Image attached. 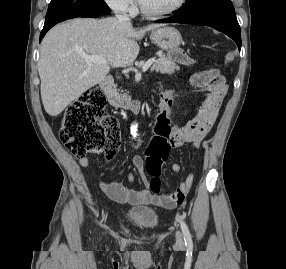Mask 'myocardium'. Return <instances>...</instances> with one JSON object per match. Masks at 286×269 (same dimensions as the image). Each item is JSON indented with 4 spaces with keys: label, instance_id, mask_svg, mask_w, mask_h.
Returning a JSON list of instances; mask_svg holds the SVG:
<instances>
[{
    "label": "myocardium",
    "instance_id": "myocardium-1",
    "mask_svg": "<svg viewBox=\"0 0 286 269\" xmlns=\"http://www.w3.org/2000/svg\"><path fill=\"white\" fill-rule=\"evenodd\" d=\"M137 2H138V6H139V9H140V12L142 15H144L145 17H148V18H161V17H165V16H168V15H171V14L177 12L180 8L183 7L186 0H177V2L172 7L168 8L166 10L157 11V12H152V11L147 10L144 7L141 0H137Z\"/></svg>",
    "mask_w": 286,
    "mask_h": 269
}]
</instances>
